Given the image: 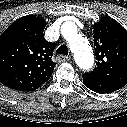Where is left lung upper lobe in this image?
<instances>
[{"label": "left lung upper lobe", "instance_id": "5c2ea615", "mask_svg": "<svg viewBox=\"0 0 127 127\" xmlns=\"http://www.w3.org/2000/svg\"><path fill=\"white\" fill-rule=\"evenodd\" d=\"M95 56L97 67L83 75L121 88L127 84V32L113 18L104 16L94 24Z\"/></svg>", "mask_w": 127, "mask_h": 127}]
</instances>
